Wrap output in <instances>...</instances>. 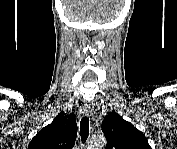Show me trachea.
Masks as SVG:
<instances>
[{"label": "trachea", "mask_w": 177, "mask_h": 149, "mask_svg": "<svg viewBox=\"0 0 177 149\" xmlns=\"http://www.w3.org/2000/svg\"><path fill=\"white\" fill-rule=\"evenodd\" d=\"M80 136L82 142H86L89 136V118L83 117L80 122Z\"/></svg>", "instance_id": "3493384b"}]
</instances>
